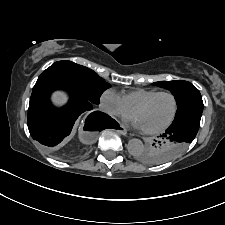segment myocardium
<instances>
[{
  "label": "myocardium",
  "mask_w": 225,
  "mask_h": 225,
  "mask_svg": "<svg viewBox=\"0 0 225 225\" xmlns=\"http://www.w3.org/2000/svg\"><path fill=\"white\" fill-rule=\"evenodd\" d=\"M161 95H169L172 100H173V112L171 114V117L169 118V120L164 123L162 126L158 127V128H154V129H143V131L147 134H157V133H161L163 131H165L167 128H169L176 116H177V112H178V99L176 97V95L171 92V91H159L153 95H151L150 97H148L147 99H145L143 102H141L140 104H138L134 110H133V114L135 115L139 110L143 109L144 107H146L149 103H151L155 98L161 96Z\"/></svg>",
  "instance_id": "myocardium-1"
}]
</instances>
